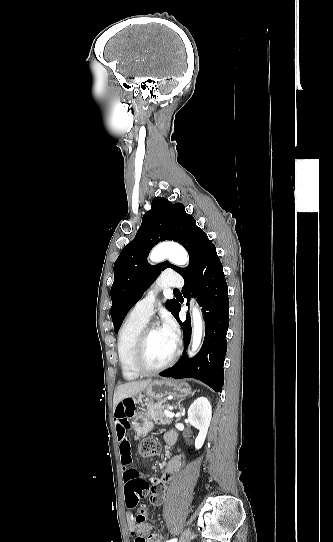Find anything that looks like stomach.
<instances>
[{"label":"stomach","instance_id":"stomach-1","mask_svg":"<svg viewBox=\"0 0 333 542\" xmlns=\"http://www.w3.org/2000/svg\"><path fill=\"white\" fill-rule=\"evenodd\" d=\"M191 386L188 382L183 380H153L147 388H145L142 394L139 396H132V398H151V400H157L161 402L164 396H177V398H186L191 394ZM120 400H131L129 397H122ZM141 418L137 416L136 420H133L132 426L134 432L132 437L136 441H141L148 436L149 431L152 430L153 424L151 422H139Z\"/></svg>","mask_w":333,"mask_h":542}]
</instances>
